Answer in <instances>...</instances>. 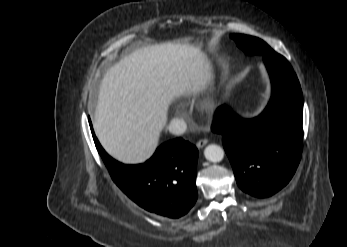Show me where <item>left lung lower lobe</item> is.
Listing matches in <instances>:
<instances>
[{
  "mask_svg": "<svg viewBox=\"0 0 347 247\" xmlns=\"http://www.w3.org/2000/svg\"><path fill=\"white\" fill-rule=\"evenodd\" d=\"M272 84L271 99L253 119L226 105L217 109L212 131L222 135L238 186L255 197H268L292 178L302 153L303 96L289 62L263 56Z\"/></svg>",
  "mask_w": 347,
  "mask_h": 247,
  "instance_id": "1",
  "label": "left lung lower lobe"
}]
</instances>
